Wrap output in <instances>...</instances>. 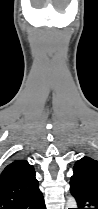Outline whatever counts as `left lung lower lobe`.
Instances as JSON below:
<instances>
[{
	"label": "left lung lower lobe",
	"instance_id": "left-lung-lower-lobe-1",
	"mask_svg": "<svg viewBox=\"0 0 98 209\" xmlns=\"http://www.w3.org/2000/svg\"><path fill=\"white\" fill-rule=\"evenodd\" d=\"M71 194L77 202V209H98V197L70 185Z\"/></svg>",
	"mask_w": 98,
	"mask_h": 209
}]
</instances>
